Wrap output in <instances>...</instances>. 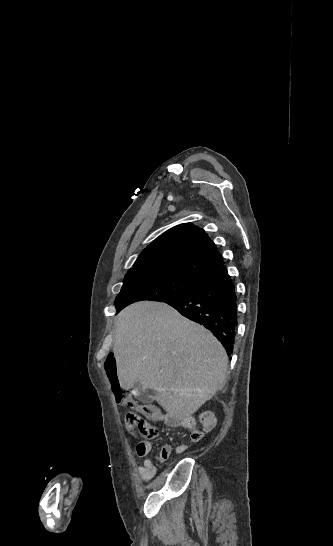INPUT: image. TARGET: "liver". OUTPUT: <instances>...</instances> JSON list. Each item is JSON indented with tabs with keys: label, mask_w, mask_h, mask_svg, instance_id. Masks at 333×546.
Wrapping results in <instances>:
<instances>
[{
	"label": "liver",
	"mask_w": 333,
	"mask_h": 546,
	"mask_svg": "<svg viewBox=\"0 0 333 546\" xmlns=\"http://www.w3.org/2000/svg\"><path fill=\"white\" fill-rule=\"evenodd\" d=\"M119 385L140 382L156 392L167 414L188 424L192 415L226 384L228 357L203 326L165 303L138 302L115 321L113 347Z\"/></svg>",
	"instance_id": "liver-1"
}]
</instances>
